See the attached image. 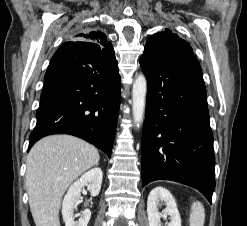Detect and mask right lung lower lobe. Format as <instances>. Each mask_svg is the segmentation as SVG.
I'll list each match as a JSON object with an SVG mask.
<instances>
[{"instance_id": "1", "label": "right lung lower lobe", "mask_w": 247, "mask_h": 226, "mask_svg": "<svg viewBox=\"0 0 247 226\" xmlns=\"http://www.w3.org/2000/svg\"><path fill=\"white\" fill-rule=\"evenodd\" d=\"M120 88L112 46L104 48L79 40L64 42L45 74L29 149L44 136L70 134L92 143L110 157Z\"/></svg>"}]
</instances>
